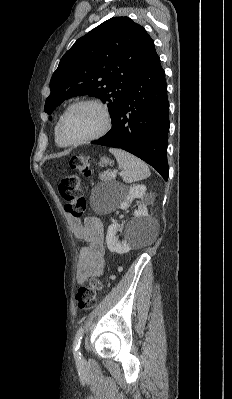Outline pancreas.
Returning a JSON list of instances; mask_svg holds the SVG:
<instances>
[{
    "instance_id": "cf45deb5",
    "label": "pancreas",
    "mask_w": 232,
    "mask_h": 399,
    "mask_svg": "<svg viewBox=\"0 0 232 399\" xmlns=\"http://www.w3.org/2000/svg\"><path fill=\"white\" fill-rule=\"evenodd\" d=\"M113 172H110V170H107V172H103V174H99L100 180H114L112 176Z\"/></svg>"
}]
</instances>
